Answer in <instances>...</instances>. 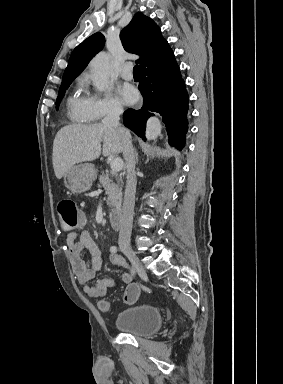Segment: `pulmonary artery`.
<instances>
[{
  "label": "pulmonary artery",
  "mask_w": 283,
  "mask_h": 384,
  "mask_svg": "<svg viewBox=\"0 0 283 384\" xmlns=\"http://www.w3.org/2000/svg\"><path fill=\"white\" fill-rule=\"evenodd\" d=\"M133 65L131 62H127L121 69L120 75L125 80H132L133 79V71H132Z\"/></svg>",
  "instance_id": "e3ab8cb5"
}]
</instances>
